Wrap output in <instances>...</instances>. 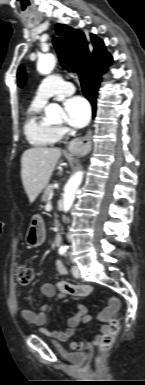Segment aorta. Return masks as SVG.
Wrapping results in <instances>:
<instances>
[{
	"label": "aorta",
	"instance_id": "762f6f07",
	"mask_svg": "<svg viewBox=\"0 0 145 385\" xmlns=\"http://www.w3.org/2000/svg\"><path fill=\"white\" fill-rule=\"evenodd\" d=\"M56 65V58L52 54H46L39 58L37 63V70L39 73L46 75L52 72ZM62 113V109L58 104L51 103L45 108V114L48 118H53ZM83 172L79 171L75 173L66 183L63 195V211L68 212L75 200V194L77 189L83 180ZM68 246H63L62 249L66 250Z\"/></svg>",
	"mask_w": 145,
	"mask_h": 385
}]
</instances>
